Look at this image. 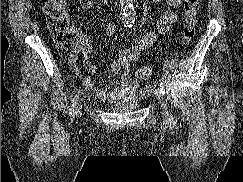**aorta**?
<instances>
[{
    "label": "aorta",
    "instance_id": "762f6f07",
    "mask_svg": "<svg viewBox=\"0 0 243 182\" xmlns=\"http://www.w3.org/2000/svg\"><path fill=\"white\" fill-rule=\"evenodd\" d=\"M123 18L125 21H132L135 19V10L132 0H120Z\"/></svg>",
    "mask_w": 243,
    "mask_h": 182
}]
</instances>
